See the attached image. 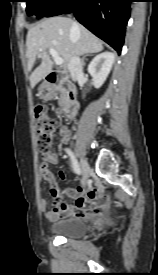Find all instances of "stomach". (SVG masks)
<instances>
[{
  "label": "stomach",
  "mask_w": 158,
  "mask_h": 275,
  "mask_svg": "<svg viewBox=\"0 0 158 275\" xmlns=\"http://www.w3.org/2000/svg\"><path fill=\"white\" fill-rule=\"evenodd\" d=\"M38 96L43 100H50L54 96L53 87L47 82H43L39 87Z\"/></svg>",
  "instance_id": "1"
}]
</instances>
